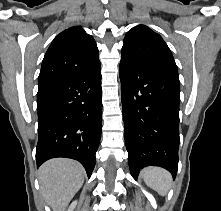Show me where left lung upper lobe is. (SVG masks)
Wrapping results in <instances>:
<instances>
[{
    "instance_id": "left-lung-upper-lobe-1",
    "label": "left lung upper lobe",
    "mask_w": 221,
    "mask_h": 211,
    "mask_svg": "<svg viewBox=\"0 0 221 211\" xmlns=\"http://www.w3.org/2000/svg\"><path fill=\"white\" fill-rule=\"evenodd\" d=\"M121 59L179 79L177 65L169 47L159 34L147 26L138 25L127 32Z\"/></svg>"
}]
</instances>
